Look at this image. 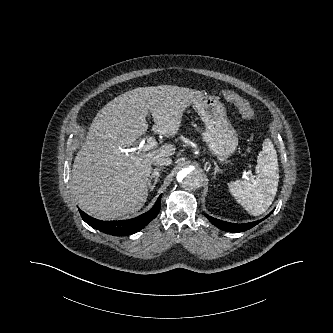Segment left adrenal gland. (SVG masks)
Wrapping results in <instances>:
<instances>
[{
	"mask_svg": "<svg viewBox=\"0 0 333 333\" xmlns=\"http://www.w3.org/2000/svg\"><path fill=\"white\" fill-rule=\"evenodd\" d=\"M214 164H215V167H214L213 178L216 177V174H217V173H222V170L219 169L218 165H217L216 163H214Z\"/></svg>",
	"mask_w": 333,
	"mask_h": 333,
	"instance_id": "1",
	"label": "left adrenal gland"
}]
</instances>
